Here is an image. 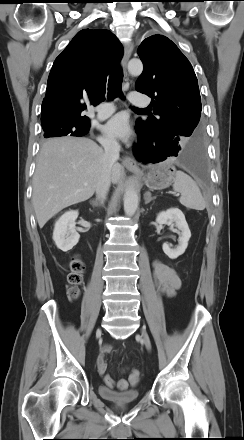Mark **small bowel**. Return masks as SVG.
I'll return each mask as SVG.
<instances>
[{
    "label": "small bowel",
    "instance_id": "1",
    "mask_svg": "<svg viewBox=\"0 0 244 440\" xmlns=\"http://www.w3.org/2000/svg\"><path fill=\"white\" fill-rule=\"evenodd\" d=\"M153 273L159 290L167 296H173L181 286L177 272L167 264L155 261ZM110 352L109 346H104L97 358V370L100 375L107 371L106 355Z\"/></svg>",
    "mask_w": 244,
    "mask_h": 440
}]
</instances>
